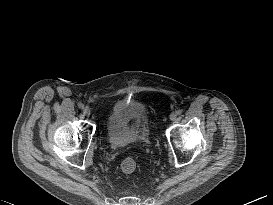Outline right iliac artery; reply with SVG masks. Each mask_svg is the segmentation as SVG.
<instances>
[{
  "label": "right iliac artery",
  "mask_w": 273,
  "mask_h": 205,
  "mask_svg": "<svg viewBox=\"0 0 273 205\" xmlns=\"http://www.w3.org/2000/svg\"><path fill=\"white\" fill-rule=\"evenodd\" d=\"M78 107H79L80 109H83V108H84V105H83L82 103H79V104H78Z\"/></svg>",
  "instance_id": "1"
}]
</instances>
